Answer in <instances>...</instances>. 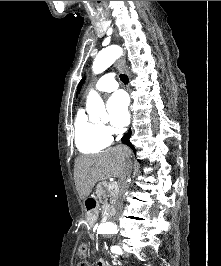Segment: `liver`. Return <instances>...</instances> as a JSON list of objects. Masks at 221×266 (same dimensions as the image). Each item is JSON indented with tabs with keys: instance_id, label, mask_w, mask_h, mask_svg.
<instances>
[{
	"instance_id": "obj_1",
	"label": "liver",
	"mask_w": 221,
	"mask_h": 266,
	"mask_svg": "<svg viewBox=\"0 0 221 266\" xmlns=\"http://www.w3.org/2000/svg\"><path fill=\"white\" fill-rule=\"evenodd\" d=\"M131 150L118 146L98 154L80 155L75 159L74 181L80 199H86L95 184L110 177L121 178Z\"/></svg>"
}]
</instances>
